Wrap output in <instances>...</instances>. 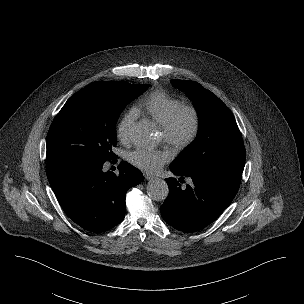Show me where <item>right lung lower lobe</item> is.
<instances>
[{
    "instance_id": "98d812e1",
    "label": "right lung lower lobe",
    "mask_w": 304,
    "mask_h": 304,
    "mask_svg": "<svg viewBox=\"0 0 304 304\" xmlns=\"http://www.w3.org/2000/svg\"><path fill=\"white\" fill-rule=\"evenodd\" d=\"M103 164L69 170L50 181L65 213L82 228L100 233L119 224L126 210L130 187L143 180L142 173L127 162L119 165V175L103 172Z\"/></svg>"
}]
</instances>
